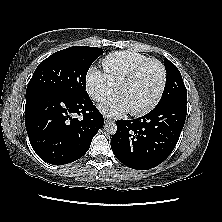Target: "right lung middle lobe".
<instances>
[{"mask_svg":"<svg viewBox=\"0 0 222 222\" xmlns=\"http://www.w3.org/2000/svg\"><path fill=\"white\" fill-rule=\"evenodd\" d=\"M103 52L97 47L74 46L52 54L36 68L28 83L26 98L42 91L87 94L86 74Z\"/></svg>","mask_w":222,"mask_h":222,"instance_id":"obj_1","label":"right lung middle lobe"}]
</instances>
